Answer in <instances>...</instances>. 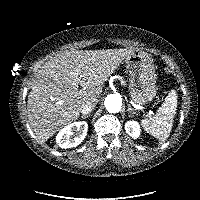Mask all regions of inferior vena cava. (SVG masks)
I'll return each mask as SVG.
<instances>
[{"label":"inferior vena cava","mask_w":200,"mask_h":200,"mask_svg":"<svg viewBox=\"0 0 200 200\" xmlns=\"http://www.w3.org/2000/svg\"><path fill=\"white\" fill-rule=\"evenodd\" d=\"M94 107H95L94 102L90 100L84 101L82 105L80 106V112L82 114H88L93 111Z\"/></svg>","instance_id":"inferior-vena-cava-1"}]
</instances>
